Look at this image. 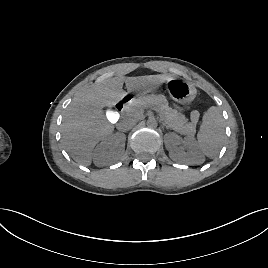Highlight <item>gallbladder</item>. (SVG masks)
<instances>
[{"instance_id": "gallbladder-1", "label": "gallbladder", "mask_w": 268, "mask_h": 268, "mask_svg": "<svg viewBox=\"0 0 268 268\" xmlns=\"http://www.w3.org/2000/svg\"><path fill=\"white\" fill-rule=\"evenodd\" d=\"M103 116L106 118L107 122L116 125L120 123L122 116L113 106H106L103 109Z\"/></svg>"}]
</instances>
